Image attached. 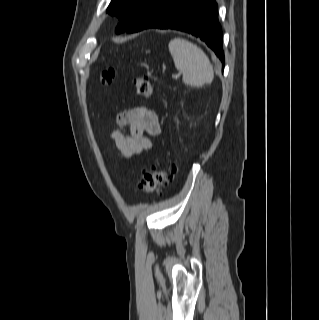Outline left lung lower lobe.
Here are the masks:
<instances>
[{"mask_svg":"<svg viewBox=\"0 0 319 320\" xmlns=\"http://www.w3.org/2000/svg\"><path fill=\"white\" fill-rule=\"evenodd\" d=\"M148 28L180 30L201 39L224 66L222 31L215 0H157L136 19L127 33Z\"/></svg>","mask_w":319,"mask_h":320,"instance_id":"obj_1","label":"left lung lower lobe"}]
</instances>
